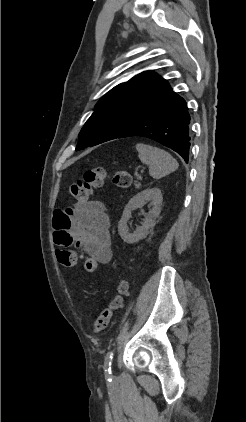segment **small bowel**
Listing matches in <instances>:
<instances>
[{
    "label": "small bowel",
    "mask_w": 246,
    "mask_h": 422,
    "mask_svg": "<svg viewBox=\"0 0 246 422\" xmlns=\"http://www.w3.org/2000/svg\"><path fill=\"white\" fill-rule=\"evenodd\" d=\"M53 227L54 242L62 250H73L101 264L111 261L110 221L101 201L85 200L66 211L57 210Z\"/></svg>",
    "instance_id": "obj_1"
}]
</instances>
